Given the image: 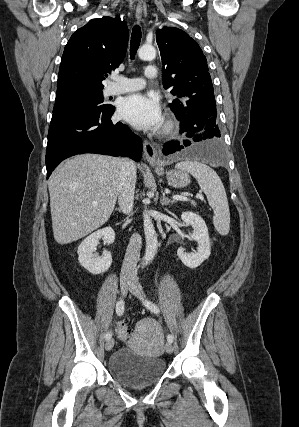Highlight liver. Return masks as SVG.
Segmentation results:
<instances>
[{
	"label": "liver",
	"instance_id": "6515ba94",
	"mask_svg": "<svg viewBox=\"0 0 299 427\" xmlns=\"http://www.w3.org/2000/svg\"><path fill=\"white\" fill-rule=\"evenodd\" d=\"M121 159L81 154L66 160L48 182L54 239L76 241L105 224L118 196Z\"/></svg>",
	"mask_w": 299,
	"mask_h": 427
}]
</instances>
